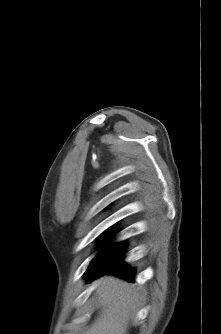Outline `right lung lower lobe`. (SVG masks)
Segmentation results:
<instances>
[{"label": "right lung lower lobe", "instance_id": "98d812e1", "mask_svg": "<svg viewBox=\"0 0 221 334\" xmlns=\"http://www.w3.org/2000/svg\"><path fill=\"white\" fill-rule=\"evenodd\" d=\"M122 258L123 257L120 254L107 266L88 274V281H92L94 278H97L103 274L113 273L133 282L135 271L133 268L127 267V265L123 263Z\"/></svg>", "mask_w": 221, "mask_h": 334}]
</instances>
